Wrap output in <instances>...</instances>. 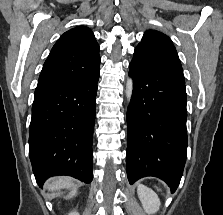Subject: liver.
Segmentation results:
<instances>
[{
	"label": "liver",
	"mask_w": 223,
	"mask_h": 215,
	"mask_svg": "<svg viewBox=\"0 0 223 215\" xmlns=\"http://www.w3.org/2000/svg\"><path fill=\"white\" fill-rule=\"evenodd\" d=\"M45 187H47L49 191H54V189H63V187H73L72 191L66 195V199H68V197H73V195H76L77 193V187H75L72 177H65V175L53 177L51 181L45 183Z\"/></svg>",
	"instance_id": "obj_1"
}]
</instances>
